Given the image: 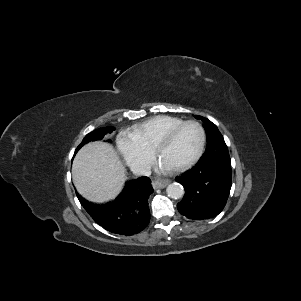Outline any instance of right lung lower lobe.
Listing matches in <instances>:
<instances>
[{"mask_svg":"<svg viewBox=\"0 0 301 301\" xmlns=\"http://www.w3.org/2000/svg\"><path fill=\"white\" fill-rule=\"evenodd\" d=\"M153 192L151 180L140 177L128 181L112 202L94 204L77 195L81 205L93 220L107 231L131 236L141 232L150 221L147 199Z\"/></svg>","mask_w":301,"mask_h":301,"instance_id":"obj_1","label":"right lung lower lobe"}]
</instances>
